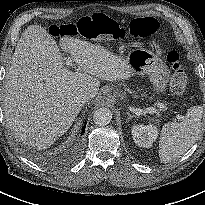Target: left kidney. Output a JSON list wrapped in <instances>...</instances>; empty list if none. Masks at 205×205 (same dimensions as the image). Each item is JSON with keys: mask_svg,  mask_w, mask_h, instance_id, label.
<instances>
[{"mask_svg": "<svg viewBox=\"0 0 205 205\" xmlns=\"http://www.w3.org/2000/svg\"><path fill=\"white\" fill-rule=\"evenodd\" d=\"M134 142L139 147L149 148L152 143L157 139L158 130L157 127L150 125H134L131 130Z\"/></svg>", "mask_w": 205, "mask_h": 205, "instance_id": "left-kidney-1", "label": "left kidney"}]
</instances>
